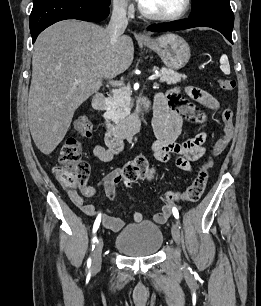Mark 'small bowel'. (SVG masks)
Listing matches in <instances>:
<instances>
[{"label": "small bowel", "mask_w": 261, "mask_h": 306, "mask_svg": "<svg viewBox=\"0 0 261 306\" xmlns=\"http://www.w3.org/2000/svg\"><path fill=\"white\" fill-rule=\"evenodd\" d=\"M184 93L198 104L211 110L219 108L218 100L200 88L186 87ZM153 114L152 126L156 137L152 144L154 157L160 162H172L175 167L191 172L193 170L192 162L200 159L206 153L205 144L208 135L206 132H200L183 142H177V138L181 133L184 119L194 123H203L207 120L206 115L194 104L185 102L178 95V92L168 96L162 93L157 94L154 99ZM123 149V139L108 133L105 137V146L95 145L92 154L100 161L110 162L121 154ZM118 173L119 170L110 173L101 182L105 194L110 200H114L116 196V185L119 181L115 180V177ZM93 191L91 186L82 189L85 196H90ZM67 192L74 205L83 213L96 218L100 215V222L106 229L118 232L124 227L125 222L122 219L112 216L109 212H98L94 205L86 203L83 197L73 189H68ZM170 216L171 205L167 203L154 214L153 220L158 224H163ZM133 220L137 223L141 222L143 214L139 211L134 212Z\"/></svg>", "instance_id": "small-bowel-1"}]
</instances>
